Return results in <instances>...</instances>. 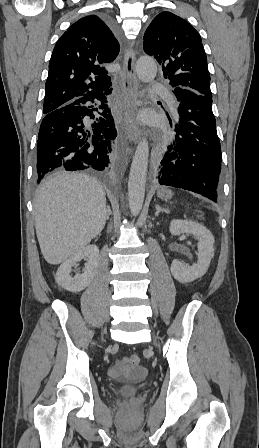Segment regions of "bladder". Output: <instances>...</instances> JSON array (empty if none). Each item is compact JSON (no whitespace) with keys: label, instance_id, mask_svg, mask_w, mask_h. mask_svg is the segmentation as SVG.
I'll return each instance as SVG.
<instances>
[{"label":"bladder","instance_id":"obj_1","mask_svg":"<svg viewBox=\"0 0 259 448\" xmlns=\"http://www.w3.org/2000/svg\"><path fill=\"white\" fill-rule=\"evenodd\" d=\"M138 391H139L138 387L130 386V385L120 386L115 389V393H117L119 395H124V396L134 395Z\"/></svg>","mask_w":259,"mask_h":448}]
</instances>
